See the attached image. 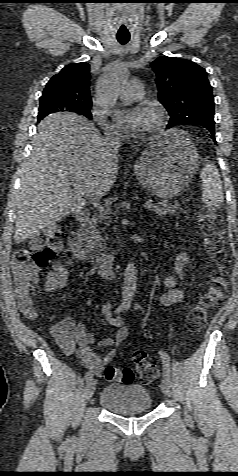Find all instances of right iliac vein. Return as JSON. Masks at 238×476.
I'll return each instance as SVG.
<instances>
[{
  "label": "right iliac vein",
  "mask_w": 238,
  "mask_h": 476,
  "mask_svg": "<svg viewBox=\"0 0 238 476\" xmlns=\"http://www.w3.org/2000/svg\"><path fill=\"white\" fill-rule=\"evenodd\" d=\"M95 388H96V380L95 379L88 380L86 385V401H89L90 398L93 396Z\"/></svg>",
  "instance_id": "obj_1"
}]
</instances>
